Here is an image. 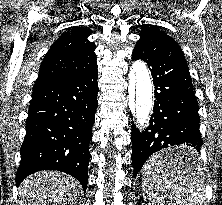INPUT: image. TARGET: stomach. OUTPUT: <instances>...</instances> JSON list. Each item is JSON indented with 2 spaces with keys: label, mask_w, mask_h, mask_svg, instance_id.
Wrapping results in <instances>:
<instances>
[{
  "label": "stomach",
  "mask_w": 222,
  "mask_h": 205,
  "mask_svg": "<svg viewBox=\"0 0 222 205\" xmlns=\"http://www.w3.org/2000/svg\"><path fill=\"white\" fill-rule=\"evenodd\" d=\"M186 152H191L193 153V151L191 150L190 147L188 146H177V147H170L164 151H162L160 154L165 156V157H171L173 158L175 155H178V154H184ZM187 167H197L198 166V163H197V160L195 158V160H193L192 162H190L189 164L185 165Z\"/></svg>",
  "instance_id": "0dacf381"
}]
</instances>
